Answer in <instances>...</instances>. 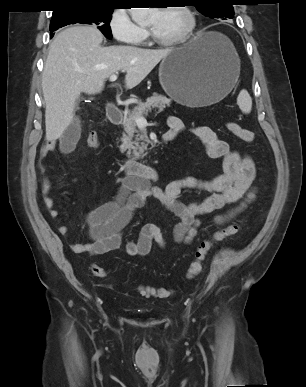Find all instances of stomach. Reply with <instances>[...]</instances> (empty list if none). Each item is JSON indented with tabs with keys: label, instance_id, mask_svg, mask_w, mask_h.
<instances>
[{
	"label": "stomach",
	"instance_id": "obj_1",
	"mask_svg": "<svg viewBox=\"0 0 306 387\" xmlns=\"http://www.w3.org/2000/svg\"><path fill=\"white\" fill-rule=\"evenodd\" d=\"M240 61L231 41L217 32H199L174 49L159 66V81L176 102L203 107L219 102L236 85Z\"/></svg>",
	"mask_w": 306,
	"mask_h": 387
}]
</instances>
